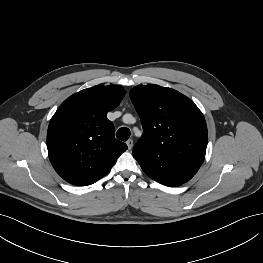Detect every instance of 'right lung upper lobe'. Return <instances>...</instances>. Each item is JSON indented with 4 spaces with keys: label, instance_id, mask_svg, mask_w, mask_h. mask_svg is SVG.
Here are the masks:
<instances>
[{
    "label": "right lung upper lobe",
    "instance_id": "right-lung-upper-lobe-1",
    "mask_svg": "<svg viewBox=\"0 0 263 263\" xmlns=\"http://www.w3.org/2000/svg\"><path fill=\"white\" fill-rule=\"evenodd\" d=\"M126 91L119 85L81 90L67 98L50 120L47 148L51 164L65 181L90 185L105 176L127 149L114 137L107 112Z\"/></svg>",
    "mask_w": 263,
    "mask_h": 263
}]
</instances>
